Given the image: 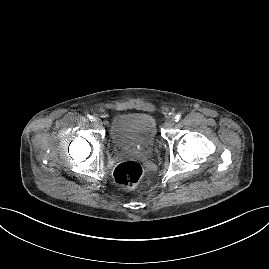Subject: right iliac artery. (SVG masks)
<instances>
[{"mask_svg": "<svg viewBox=\"0 0 269 269\" xmlns=\"http://www.w3.org/2000/svg\"><path fill=\"white\" fill-rule=\"evenodd\" d=\"M88 118L93 121L94 120V117L93 116H88Z\"/></svg>", "mask_w": 269, "mask_h": 269, "instance_id": "right-iliac-artery-1", "label": "right iliac artery"}]
</instances>
